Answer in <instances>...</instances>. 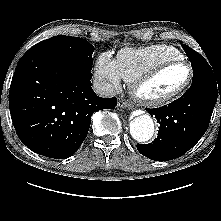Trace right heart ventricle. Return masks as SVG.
<instances>
[{"mask_svg":"<svg viewBox=\"0 0 221 221\" xmlns=\"http://www.w3.org/2000/svg\"><path fill=\"white\" fill-rule=\"evenodd\" d=\"M174 59H183L177 48L157 44L137 49L124 48L119 51L115 61L120 77L131 83L155 66Z\"/></svg>","mask_w":221,"mask_h":221,"instance_id":"right-heart-ventricle-1","label":"right heart ventricle"}]
</instances>
